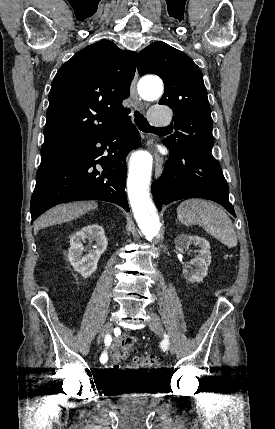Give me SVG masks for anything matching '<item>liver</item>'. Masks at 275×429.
I'll use <instances>...</instances> for the list:
<instances>
[{
	"label": "liver",
	"instance_id": "6515ba94",
	"mask_svg": "<svg viewBox=\"0 0 275 429\" xmlns=\"http://www.w3.org/2000/svg\"><path fill=\"white\" fill-rule=\"evenodd\" d=\"M97 208L95 202H77L59 205L43 214L34 224L35 232L41 228L73 220L91 209Z\"/></svg>",
	"mask_w": 275,
	"mask_h": 429
}]
</instances>
